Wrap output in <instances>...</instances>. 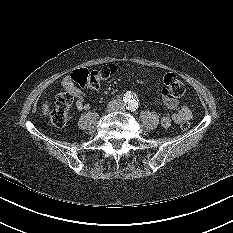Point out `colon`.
Here are the masks:
<instances>
[{
	"label": "colon",
	"mask_w": 233,
	"mask_h": 233,
	"mask_svg": "<svg viewBox=\"0 0 233 233\" xmlns=\"http://www.w3.org/2000/svg\"><path fill=\"white\" fill-rule=\"evenodd\" d=\"M117 68L113 64L102 65L97 69H77L71 73V80L81 87L96 89L101 82L110 79L115 75ZM164 91L173 98L184 96L186 87L184 83L173 73H167L163 77ZM72 105V96L68 92L59 93L54 106L47 115L51 123L56 127H63L68 121V113ZM181 129L187 130L190 127L188 121L180 124Z\"/></svg>",
	"instance_id": "obj_1"
}]
</instances>
